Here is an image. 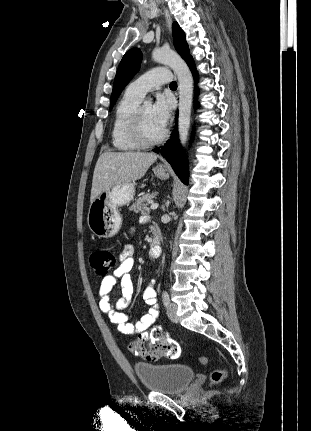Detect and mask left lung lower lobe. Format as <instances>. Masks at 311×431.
<instances>
[{
	"mask_svg": "<svg viewBox=\"0 0 311 431\" xmlns=\"http://www.w3.org/2000/svg\"><path fill=\"white\" fill-rule=\"evenodd\" d=\"M189 68L191 69L194 79L197 82L198 73L195 68L193 59L191 58L187 62ZM197 105V104H196ZM172 137L167 141V143L161 148H155L154 152H159L164 158L171 164L172 168L180 179L187 184V165L184 161L182 148L179 145L177 128L173 130Z\"/></svg>",
	"mask_w": 311,
	"mask_h": 431,
	"instance_id": "left-lung-lower-lobe-1",
	"label": "left lung lower lobe"
}]
</instances>
